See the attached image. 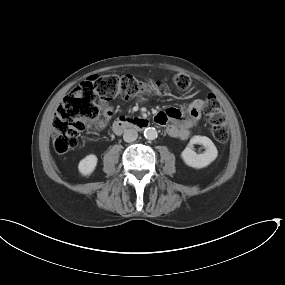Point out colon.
<instances>
[{
    "label": "colon",
    "instance_id": "1",
    "mask_svg": "<svg viewBox=\"0 0 285 285\" xmlns=\"http://www.w3.org/2000/svg\"><path fill=\"white\" fill-rule=\"evenodd\" d=\"M177 89L186 90L191 84L188 75L173 76ZM160 91V85L137 80L131 75L93 76L80 83L63 99L53 123V147L58 154H64L78 145L79 137L86 128V122L99 117L98 99H112L116 96L134 97ZM203 111L209 117L211 135L215 141L224 143L229 137L225 112L219 100L208 94L203 101ZM153 121L165 125L167 117L158 113Z\"/></svg>",
    "mask_w": 285,
    "mask_h": 285
}]
</instances>
